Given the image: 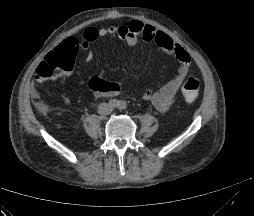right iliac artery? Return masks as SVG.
<instances>
[{
  "mask_svg": "<svg viewBox=\"0 0 254 216\" xmlns=\"http://www.w3.org/2000/svg\"><path fill=\"white\" fill-rule=\"evenodd\" d=\"M109 105H110L111 107H116V106L118 105V101H117L116 99H111V100L109 101Z\"/></svg>",
  "mask_w": 254,
  "mask_h": 216,
  "instance_id": "1",
  "label": "right iliac artery"
}]
</instances>
